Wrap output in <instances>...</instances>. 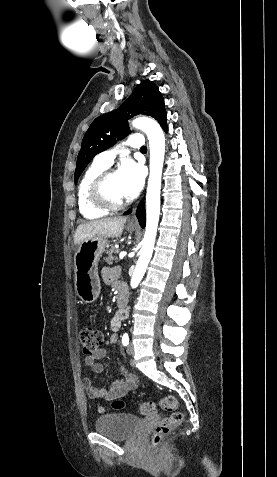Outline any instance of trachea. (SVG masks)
<instances>
[{
    "label": "trachea",
    "mask_w": 277,
    "mask_h": 477,
    "mask_svg": "<svg viewBox=\"0 0 277 477\" xmlns=\"http://www.w3.org/2000/svg\"><path fill=\"white\" fill-rule=\"evenodd\" d=\"M140 151H147V147L146 146L141 147Z\"/></svg>",
    "instance_id": "1"
}]
</instances>
